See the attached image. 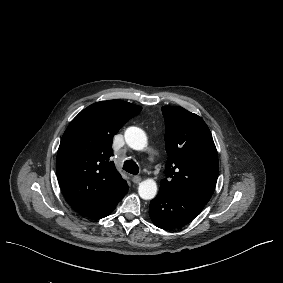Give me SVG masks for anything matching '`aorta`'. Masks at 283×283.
I'll return each mask as SVG.
<instances>
[{
    "instance_id": "1",
    "label": "aorta",
    "mask_w": 283,
    "mask_h": 283,
    "mask_svg": "<svg viewBox=\"0 0 283 283\" xmlns=\"http://www.w3.org/2000/svg\"><path fill=\"white\" fill-rule=\"evenodd\" d=\"M125 141L129 147L134 150H144L147 147V136L145 132L138 127H129L126 129ZM139 196L144 200H151L156 196L157 184L153 179H146L139 184Z\"/></svg>"
}]
</instances>
